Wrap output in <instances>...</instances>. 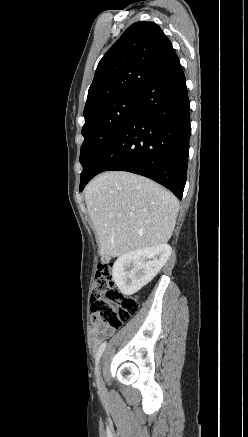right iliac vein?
Masks as SVG:
<instances>
[{
	"mask_svg": "<svg viewBox=\"0 0 248 437\" xmlns=\"http://www.w3.org/2000/svg\"><path fill=\"white\" fill-rule=\"evenodd\" d=\"M97 376H98L99 382L101 383L100 366L99 365H98V368H97Z\"/></svg>",
	"mask_w": 248,
	"mask_h": 437,
	"instance_id": "1",
	"label": "right iliac vein"
}]
</instances>
